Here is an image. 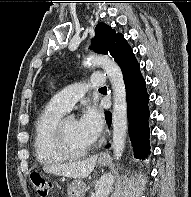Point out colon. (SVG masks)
Returning <instances> with one entry per match:
<instances>
[{
    "instance_id": "5ec220e1",
    "label": "colon",
    "mask_w": 191,
    "mask_h": 197,
    "mask_svg": "<svg viewBox=\"0 0 191 197\" xmlns=\"http://www.w3.org/2000/svg\"><path fill=\"white\" fill-rule=\"evenodd\" d=\"M31 181L33 183L36 193L39 196L41 197L48 196L50 189H51V185L43 176H41L40 174L34 173L31 176Z\"/></svg>"
}]
</instances>
